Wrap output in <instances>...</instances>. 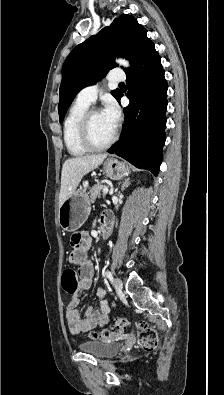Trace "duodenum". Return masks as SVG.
Masks as SVG:
<instances>
[{
	"instance_id": "duodenum-1",
	"label": "duodenum",
	"mask_w": 224,
	"mask_h": 395,
	"mask_svg": "<svg viewBox=\"0 0 224 395\" xmlns=\"http://www.w3.org/2000/svg\"><path fill=\"white\" fill-rule=\"evenodd\" d=\"M114 217L110 212H104L100 217V232L103 238H108L113 229Z\"/></svg>"
}]
</instances>
